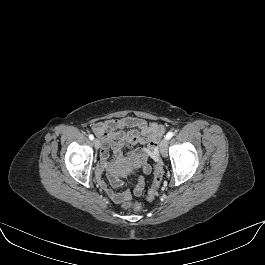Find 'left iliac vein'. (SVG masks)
Wrapping results in <instances>:
<instances>
[{
  "label": "left iliac vein",
  "mask_w": 265,
  "mask_h": 265,
  "mask_svg": "<svg viewBox=\"0 0 265 265\" xmlns=\"http://www.w3.org/2000/svg\"><path fill=\"white\" fill-rule=\"evenodd\" d=\"M160 153L163 157L167 156V150H168V140L163 139L159 144Z\"/></svg>",
  "instance_id": "left-iliac-vein-1"
}]
</instances>
